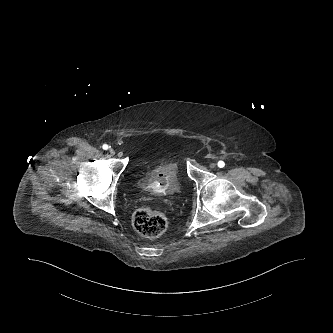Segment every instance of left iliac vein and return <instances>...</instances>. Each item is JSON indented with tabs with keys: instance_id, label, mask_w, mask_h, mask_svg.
<instances>
[{
	"instance_id": "1",
	"label": "left iliac vein",
	"mask_w": 333,
	"mask_h": 333,
	"mask_svg": "<svg viewBox=\"0 0 333 333\" xmlns=\"http://www.w3.org/2000/svg\"><path fill=\"white\" fill-rule=\"evenodd\" d=\"M209 166H210V168H212V169H213V168H215V167H216V163L212 162V163H210V165H209Z\"/></svg>"
}]
</instances>
